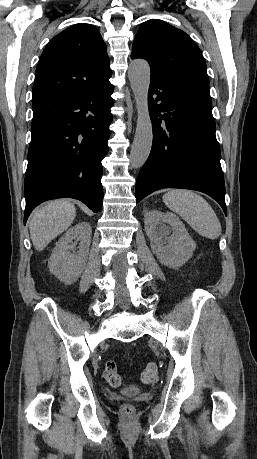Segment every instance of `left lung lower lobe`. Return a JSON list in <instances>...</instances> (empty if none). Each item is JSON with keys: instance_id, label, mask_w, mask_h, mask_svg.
Here are the masks:
<instances>
[{"instance_id": "obj_1", "label": "left lung lower lobe", "mask_w": 257, "mask_h": 459, "mask_svg": "<svg viewBox=\"0 0 257 459\" xmlns=\"http://www.w3.org/2000/svg\"><path fill=\"white\" fill-rule=\"evenodd\" d=\"M148 103L153 144L137 177L136 203L162 188H184L208 194L226 214L209 84L151 78Z\"/></svg>"}]
</instances>
